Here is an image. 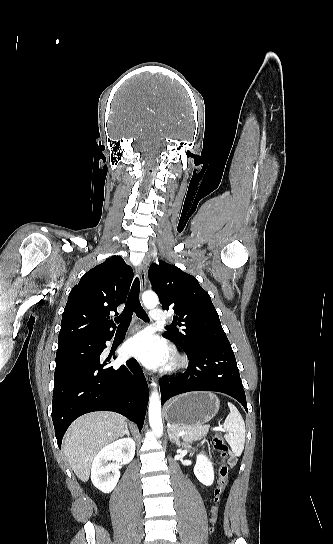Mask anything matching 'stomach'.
<instances>
[{
	"instance_id": "obj_1",
	"label": "stomach",
	"mask_w": 333,
	"mask_h": 544,
	"mask_svg": "<svg viewBox=\"0 0 333 544\" xmlns=\"http://www.w3.org/2000/svg\"><path fill=\"white\" fill-rule=\"evenodd\" d=\"M220 407L211 392H190L176 397L165 407L166 419L177 426H197L210 421Z\"/></svg>"
}]
</instances>
